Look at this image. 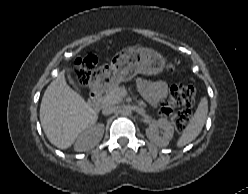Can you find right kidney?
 Masks as SVG:
<instances>
[{
	"label": "right kidney",
	"mask_w": 248,
	"mask_h": 194,
	"mask_svg": "<svg viewBox=\"0 0 248 194\" xmlns=\"http://www.w3.org/2000/svg\"><path fill=\"white\" fill-rule=\"evenodd\" d=\"M103 134V124H97L83 131L75 142V151L83 152L92 149L102 139Z\"/></svg>",
	"instance_id": "right-kidney-1"
}]
</instances>
